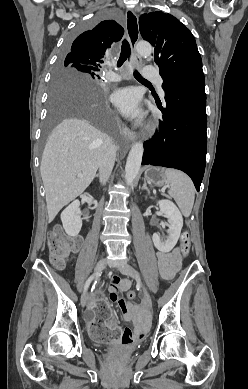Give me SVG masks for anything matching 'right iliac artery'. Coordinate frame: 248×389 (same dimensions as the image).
Instances as JSON below:
<instances>
[{"label": "right iliac artery", "mask_w": 248, "mask_h": 389, "mask_svg": "<svg viewBox=\"0 0 248 389\" xmlns=\"http://www.w3.org/2000/svg\"><path fill=\"white\" fill-rule=\"evenodd\" d=\"M100 275H101V273L98 272V273H95V274H93L92 276H90V277L88 278V280L86 281V283H85L84 291L88 289V287H89L90 283L92 282V280H93L95 277L100 276Z\"/></svg>", "instance_id": "obj_1"}]
</instances>
